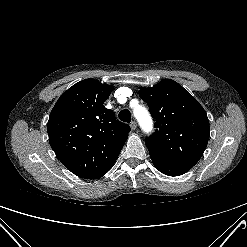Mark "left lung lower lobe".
<instances>
[{
	"label": "left lung lower lobe",
	"instance_id": "1",
	"mask_svg": "<svg viewBox=\"0 0 247 247\" xmlns=\"http://www.w3.org/2000/svg\"><path fill=\"white\" fill-rule=\"evenodd\" d=\"M154 166L163 174L168 176H179L189 171L192 166L187 164L176 163L164 159L158 155L150 154Z\"/></svg>",
	"mask_w": 247,
	"mask_h": 247
}]
</instances>
